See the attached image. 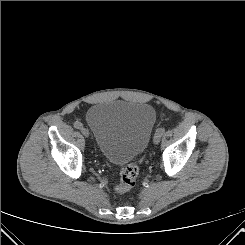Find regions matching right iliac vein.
Masks as SVG:
<instances>
[{
  "instance_id": "obj_1",
  "label": "right iliac vein",
  "mask_w": 245,
  "mask_h": 245,
  "mask_svg": "<svg viewBox=\"0 0 245 245\" xmlns=\"http://www.w3.org/2000/svg\"><path fill=\"white\" fill-rule=\"evenodd\" d=\"M80 130L85 137H89V131L86 128L82 127Z\"/></svg>"
}]
</instances>
